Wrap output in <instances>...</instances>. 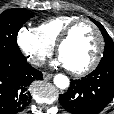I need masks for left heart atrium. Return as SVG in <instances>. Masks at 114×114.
Returning <instances> with one entry per match:
<instances>
[{
    "label": "left heart atrium",
    "mask_w": 114,
    "mask_h": 114,
    "mask_svg": "<svg viewBox=\"0 0 114 114\" xmlns=\"http://www.w3.org/2000/svg\"><path fill=\"white\" fill-rule=\"evenodd\" d=\"M56 65H61L63 67L69 68L66 62L59 56L58 59L54 62Z\"/></svg>",
    "instance_id": "obj_1"
}]
</instances>
